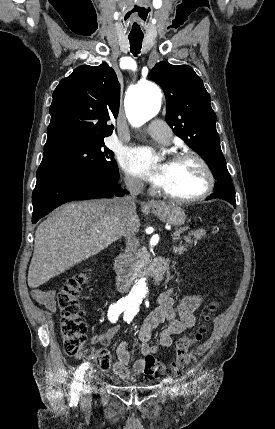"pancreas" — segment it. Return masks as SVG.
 <instances>
[{
  "mask_svg": "<svg viewBox=\"0 0 275 429\" xmlns=\"http://www.w3.org/2000/svg\"><path fill=\"white\" fill-rule=\"evenodd\" d=\"M190 235L193 237V239H191V237H187V239H186V242L187 243H189V244H193V242L194 243H196L198 240H200V239H202L203 237H205V235H206V232L204 231V230H196V231H192L191 233H190ZM187 249L186 248H184V247H174L173 248V251L175 252V253H178V254H182L183 253V251H186ZM145 252H143V253H141V256H140V258L142 259V261H141V265L143 266V265H145L147 262H146V260H147V257H146V255L144 254Z\"/></svg>",
  "mask_w": 275,
  "mask_h": 429,
  "instance_id": "pancreas-1",
  "label": "pancreas"
}]
</instances>
